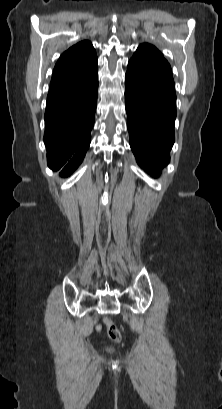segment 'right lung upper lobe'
I'll list each match as a JSON object with an SVG mask.
<instances>
[{
    "label": "right lung upper lobe",
    "mask_w": 222,
    "mask_h": 409,
    "mask_svg": "<svg viewBox=\"0 0 222 409\" xmlns=\"http://www.w3.org/2000/svg\"><path fill=\"white\" fill-rule=\"evenodd\" d=\"M98 70L96 51L91 42L81 41L65 51L55 65L50 96L72 93L82 88L86 76Z\"/></svg>",
    "instance_id": "right-lung-upper-lobe-1"
}]
</instances>
